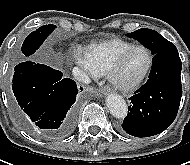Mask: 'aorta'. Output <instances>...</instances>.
I'll return each mask as SVG.
<instances>
[{
    "instance_id": "1",
    "label": "aorta",
    "mask_w": 190,
    "mask_h": 165,
    "mask_svg": "<svg viewBox=\"0 0 190 165\" xmlns=\"http://www.w3.org/2000/svg\"><path fill=\"white\" fill-rule=\"evenodd\" d=\"M106 104L110 113L116 118H125L127 115V104L122 96L109 94L106 98Z\"/></svg>"
}]
</instances>
